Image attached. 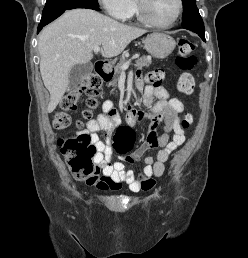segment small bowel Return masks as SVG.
Instances as JSON below:
<instances>
[{
	"mask_svg": "<svg viewBox=\"0 0 248 258\" xmlns=\"http://www.w3.org/2000/svg\"><path fill=\"white\" fill-rule=\"evenodd\" d=\"M137 86L142 91L143 102L150 111L129 110L126 121L129 126H134L137 121L150 120L151 127L147 139L123 161L111 162V135L121 120L112 101L105 100L102 112L96 118L89 120L86 129L81 132L90 135L95 144L97 153L94 162L103 172V176L97 180H87V185H94L102 190H114L126 184L132 192L147 191L152 187L150 178L163 175L168 158L184 143L185 134L181 128L180 117L184 106L181 100L171 98L168 91L160 85L143 87L141 80L138 79ZM160 123L163 124V133L158 134L156 128ZM100 130L105 131L104 141L98 137ZM151 148H160L157 157L154 159L152 156H146L142 174L136 178L134 172L126 168L125 163H135Z\"/></svg>",
	"mask_w": 248,
	"mask_h": 258,
	"instance_id": "c3829d8e",
	"label": "small bowel"
}]
</instances>
